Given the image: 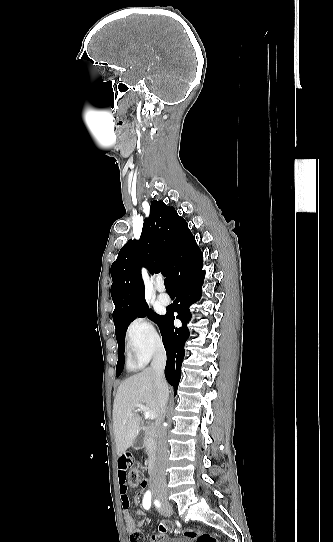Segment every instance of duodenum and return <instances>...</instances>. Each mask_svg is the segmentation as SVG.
<instances>
[{
  "label": "duodenum",
  "mask_w": 333,
  "mask_h": 542,
  "mask_svg": "<svg viewBox=\"0 0 333 542\" xmlns=\"http://www.w3.org/2000/svg\"><path fill=\"white\" fill-rule=\"evenodd\" d=\"M133 445L137 448H141L143 446H150L151 448L154 447V438L150 431H144L142 434L135 437L133 440ZM156 468V455L154 452H152L151 456L149 457L148 464H147V470L149 474H153Z\"/></svg>",
  "instance_id": "410a0bca"
}]
</instances>
